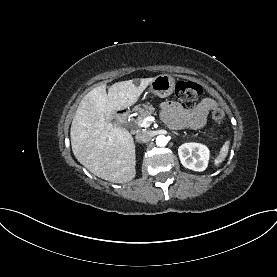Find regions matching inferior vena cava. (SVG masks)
I'll return each instance as SVG.
<instances>
[{"mask_svg":"<svg viewBox=\"0 0 277 277\" xmlns=\"http://www.w3.org/2000/svg\"><path fill=\"white\" fill-rule=\"evenodd\" d=\"M136 141L137 142H140V143H146L148 141H150L151 139V136L149 134L148 131H139L137 134H136Z\"/></svg>","mask_w":277,"mask_h":277,"instance_id":"602c4592","label":"inferior vena cava"}]
</instances>
